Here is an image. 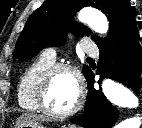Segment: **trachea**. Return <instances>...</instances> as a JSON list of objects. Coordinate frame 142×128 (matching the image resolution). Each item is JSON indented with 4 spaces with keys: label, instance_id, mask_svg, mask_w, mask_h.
<instances>
[{
    "label": "trachea",
    "instance_id": "obj_1",
    "mask_svg": "<svg viewBox=\"0 0 142 128\" xmlns=\"http://www.w3.org/2000/svg\"><path fill=\"white\" fill-rule=\"evenodd\" d=\"M87 59H88V60H91V58H90V57H88Z\"/></svg>",
    "mask_w": 142,
    "mask_h": 128
}]
</instances>
